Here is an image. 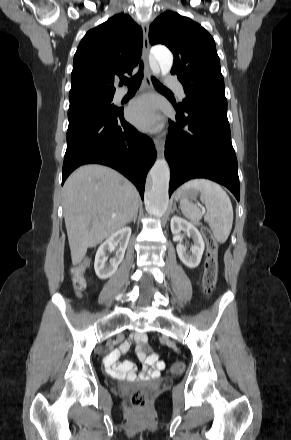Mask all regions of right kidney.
I'll use <instances>...</instances> for the list:
<instances>
[{
    "label": "right kidney",
    "instance_id": "1",
    "mask_svg": "<svg viewBox=\"0 0 291 440\" xmlns=\"http://www.w3.org/2000/svg\"><path fill=\"white\" fill-rule=\"evenodd\" d=\"M130 236L131 228L124 227L112 234L99 246L95 256L94 269L100 279H107L117 271L119 264L124 258ZM118 244L120 245L119 249L108 262L107 253L113 251Z\"/></svg>",
    "mask_w": 291,
    "mask_h": 440
}]
</instances>
